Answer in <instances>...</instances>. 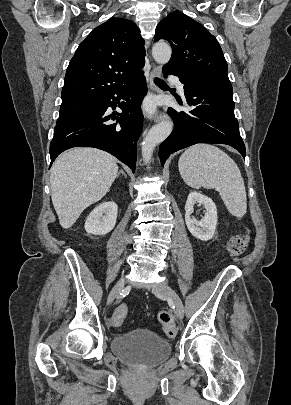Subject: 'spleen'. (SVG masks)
I'll use <instances>...</instances> for the list:
<instances>
[{
    "instance_id": "obj_1",
    "label": "spleen",
    "mask_w": 291,
    "mask_h": 405,
    "mask_svg": "<svg viewBox=\"0 0 291 405\" xmlns=\"http://www.w3.org/2000/svg\"><path fill=\"white\" fill-rule=\"evenodd\" d=\"M178 167L188 186L215 188L231 215L241 218L246 214L247 198L241 172L224 151L209 144L192 146L180 156Z\"/></svg>"
}]
</instances>
